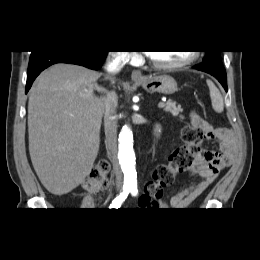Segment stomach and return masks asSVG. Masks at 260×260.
<instances>
[{
    "label": "stomach",
    "instance_id": "obj_1",
    "mask_svg": "<svg viewBox=\"0 0 260 260\" xmlns=\"http://www.w3.org/2000/svg\"><path fill=\"white\" fill-rule=\"evenodd\" d=\"M138 84L149 93L171 95L178 90L175 79L166 74L149 76L145 80L138 81Z\"/></svg>",
    "mask_w": 260,
    "mask_h": 260
}]
</instances>
